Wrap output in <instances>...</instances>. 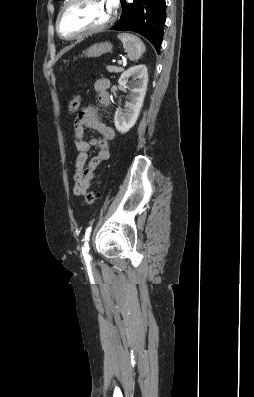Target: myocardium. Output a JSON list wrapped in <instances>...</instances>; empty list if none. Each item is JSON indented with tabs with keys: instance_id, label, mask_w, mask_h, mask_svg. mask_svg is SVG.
Listing matches in <instances>:
<instances>
[{
	"instance_id": "obj_1",
	"label": "myocardium",
	"mask_w": 254,
	"mask_h": 397,
	"mask_svg": "<svg viewBox=\"0 0 254 397\" xmlns=\"http://www.w3.org/2000/svg\"><path fill=\"white\" fill-rule=\"evenodd\" d=\"M75 1L76 0H67L65 2V4L62 6V8L60 9L59 13H58V16H57V19H56V30H57L58 34L62 38L66 39V40H74V39L82 38V37H85V36H88V35H92V34H95V33H99L101 31L107 29L108 27H110L113 24V22L115 21L116 11H115L114 7L112 5H110V8H111L110 15H109L108 19L103 24H101V25H99L97 27H94V28H90V29L84 30V31L79 32L77 34L66 35L61 30V26H60L61 18L63 16L65 10L72 3H74Z\"/></svg>"
}]
</instances>
